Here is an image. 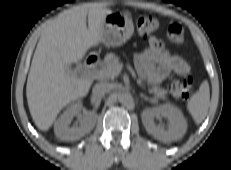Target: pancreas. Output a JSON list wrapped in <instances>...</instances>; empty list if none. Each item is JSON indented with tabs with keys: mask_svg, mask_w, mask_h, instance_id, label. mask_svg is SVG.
<instances>
[{
	"mask_svg": "<svg viewBox=\"0 0 231 170\" xmlns=\"http://www.w3.org/2000/svg\"><path fill=\"white\" fill-rule=\"evenodd\" d=\"M118 64H120L119 57L115 55L114 53H108L104 58L101 70H107L109 69V67L115 66ZM140 84L143 86L142 81H140ZM148 91L149 93H153L156 98H160V99L166 98L167 91L160 87H156V86L150 87Z\"/></svg>",
	"mask_w": 231,
	"mask_h": 170,
	"instance_id": "1",
	"label": "pancreas"
}]
</instances>
